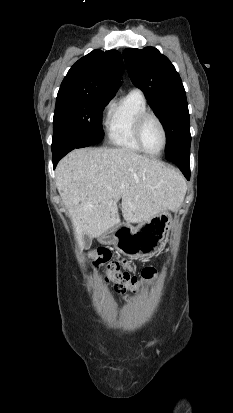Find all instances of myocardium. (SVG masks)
Returning <instances> with one entry per match:
<instances>
[{
	"mask_svg": "<svg viewBox=\"0 0 233 413\" xmlns=\"http://www.w3.org/2000/svg\"><path fill=\"white\" fill-rule=\"evenodd\" d=\"M149 118H153L154 120H156V122L159 124V126L161 128L162 135H163L162 147L157 152H150L145 147L143 139H142L143 126H144L146 120L149 119ZM134 137H135V140H136L137 144L141 148V150L143 152H145L146 154L150 155V156L160 155L165 150V148L167 146L168 137H167V131H166L165 125H164L163 121L161 120V118L156 113H154L153 111H150V110H146V111L142 112L137 117V119L135 121V124H134Z\"/></svg>",
	"mask_w": 233,
	"mask_h": 413,
	"instance_id": "f54148a6",
	"label": "myocardium"
}]
</instances>
